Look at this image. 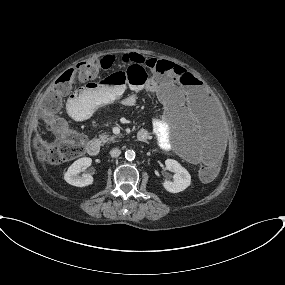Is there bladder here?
<instances>
[{
	"mask_svg": "<svg viewBox=\"0 0 285 285\" xmlns=\"http://www.w3.org/2000/svg\"><path fill=\"white\" fill-rule=\"evenodd\" d=\"M187 153H188V150L187 148L183 147V146H180L178 148V154L181 155L182 157H186L187 156Z\"/></svg>",
	"mask_w": 285,
	"mask_h": 285,
	"instance_id": "bladder-1",
	"label": "bladder"
}]
</instances>
